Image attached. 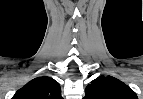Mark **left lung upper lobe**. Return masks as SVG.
Here are the masks:
<instances>
[{
  "label": "left lung upper lobe",
  "mask_w": 143,
  "mask_h": 99,
  "mask_svg": "<svg viewBox=\"0 0 143 99\" xmlns=\"http://www.w3.org/2000/svg\"><path fill=\"white\" fill-rule=\"evenodd\" d=\"M84 99H138L136 93L112 76H100L85 89Z\"/></svg>",
  "instance_id": "obj_1"
}]
</instances>
